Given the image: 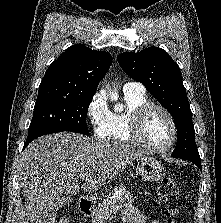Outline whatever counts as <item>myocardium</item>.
I'll use <instances>...</instances> for the list:
<instances>
[{"label": "myocardium", "mask_w": 221, "mask_h": 223, "mask_svg": "<svg viewBox=\"0 0 221 223\" xmlns=\"http://www.w3.org/2000/svg\"><path fill=\"white\" fill-rule=\"evenodd\" d=\"M152 110H159L162 113L166 115L168 118L171 129H172V137L168 144L164 146H155L150 143H148L142 136V128L145 121L146 116L152 111ZM128 132L131 137V139L137 143L142 148L149 150V151H155V152H165L171 149L178 140V126L176 123V120L173 116V114L164 106L154 103H147L145 105H142L141 107L137 108L131 118L130 125L128 127Z\"/></svg>", "instance_id": "1"}]
</instances>
